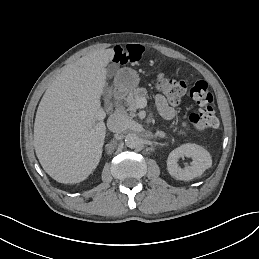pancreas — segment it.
I'll return each instance as SVG.
<instances>
[{
	"instance_id": "1",
	"label": "pancreas",
	"mask_w": 259,
	"mask_h": 259,
	"mask_svg": "<svg viewBox=\"0 0 259 259\" xmlns=\"http://www.w3.org/2000/svg\"><path fill=\"white\" fill-rule=\"evenodd\" d=\"M142 97H147V90L145 88H137L125 98V106L127 107V111L130 112L131 117H135V112L137 109V100ZM176 130L177 128L174 129V131ZM179 134H185V132L181 130L179 131Z\"/></svg>"
}]
</instances>
